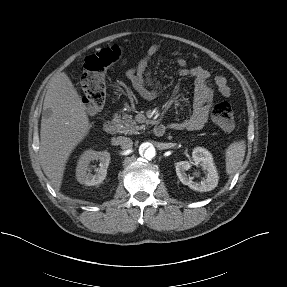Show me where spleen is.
Instances as JSON below:
<instances>
[{
  "label": "spleen",
  "instance_id": "3e777b00",
  "mask_svg": "<svg viewBox=\"0 0 287 287\" xmlns=\"http://www.w3.org/2000/svg\"><path fill=\"white\" fill-rule=\"evenodd\" d=\"M245 141L231 143L226 149L225 162L226 172L229 175H234L242 165L245 156Z\"/></svg>",
  "mask_w": 287,
  "mask_h": 287
}]
</instances>
